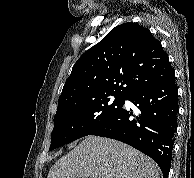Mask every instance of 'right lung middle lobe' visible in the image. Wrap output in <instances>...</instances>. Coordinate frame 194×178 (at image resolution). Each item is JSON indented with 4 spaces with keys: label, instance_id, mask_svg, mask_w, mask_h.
I'll return each instance as SVG.
<instances>
[{
    "label": "right lung middle lobe",
    "instance_id": "right-lung-middle-lobe-1",
    "mask_svg": "<svg viewBox=\"0 0 194 178\" xmlns=\"http://www.w3.org/2000/svg\"><path fill=\"white\" fill-rule=\"evenodd\" d=\"M103 95L57 110L49 151L89 135L122 109L127 97Z\"/></svg>",
    "mask_w": 194,
    "mask_h": 178
}]
</instances>
